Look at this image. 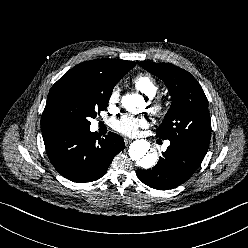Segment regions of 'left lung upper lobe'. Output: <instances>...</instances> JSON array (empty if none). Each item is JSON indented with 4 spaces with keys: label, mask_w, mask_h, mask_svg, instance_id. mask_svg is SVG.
Here are the masks:
<instances>
[{
    "label": "left lung upper lobe",
    "mask_w": 248,
    "mask_h": 248,
    "mask_svg": "<svg viewBox=\"0 0 248 248\" xmlns=\"http://www.w3.org/2000/svg\"><path fill=\"white\" fill-rule=\"evenodd\" d=\"M139 65L162 79L172 97V105L156 131L157 137L205 156L211 121L208 101L200 84L189 72L169 63L142 61Z\"/></svg>",
    "instance_id": "5c2ea615"
}]
</instances>
